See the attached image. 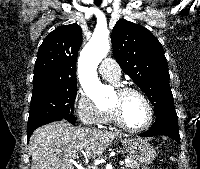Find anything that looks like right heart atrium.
<instances>
[{
  "instance_id": "obj_1",
  "label": "right heart atrium",
  "mask_w": 200,
  "mask_h": 169,
  "mask_svg": "<svg viewBox=\"0 0 200 169\" xmlns=\"http://www.w3.org/2000/svg\"><path fill=\"white\" fill-rule=\"evenodd\" d=\"M73 109L78 119L86 125H100L103 123L105 110L98 107L94 101L82 91L76 93Z\"/></svg>"
}]
</instances>
